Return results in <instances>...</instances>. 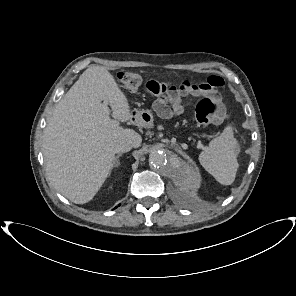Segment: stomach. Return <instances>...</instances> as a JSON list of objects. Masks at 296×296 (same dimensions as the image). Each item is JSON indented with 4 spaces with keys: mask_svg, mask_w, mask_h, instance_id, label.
Segmentation results:
<instances>
[{
    "mask_svg": "<svg viewBox=\"0 0 296 296\" xmlns=\"http://www.w3.org/2000/svg\"><path fill=\"white\" fill-rule=\"evenodd\" d=\"M135 121L144 126V127H150L153 124V115L150 111H137L134 115Z\"/></svg>",
    "mask_w": 296,
    "mask_h": 296,
    "instance_id": "obj_1",
    "label": "stomach"
}]
</instances>
